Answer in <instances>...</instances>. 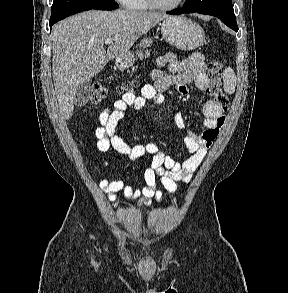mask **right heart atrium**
<instances>
[{
	"label": "right heart atrium",
	"mask_w": 288,
	"mask_h": 293,
	"mask_svg": "<svg viewBox=\"0 0 288 293\" xmlns=\"http://www.w3.org/2000/svg\"><path fill=\"white\" fill-rule=\"evenodd\" d=\"M121 4H125L127 0H117Z\"/></svg>",
	"instance_id": "right-heart-atrium-1"
}]
</instances>
